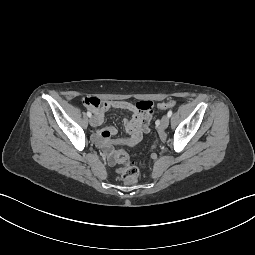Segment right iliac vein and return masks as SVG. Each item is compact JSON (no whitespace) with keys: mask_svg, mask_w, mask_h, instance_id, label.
<instances>
[{"mask_svg":"<svg viewBox=\"0 0 255 255\" xmlns=\"http://www.w3.org/2000/svg\"><path fill=\"white\" fill-rule=\"evenodd\" d=\"M89 123L92 127H95L97 125V121L95 117H90Z\"/></svg>","mask_w":255,"mask_h":255,"instance_id":"obj_1","label":"right iliac vein"}]
</instances>
